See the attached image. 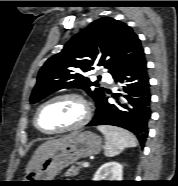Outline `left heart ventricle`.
Returning <instances> with one entry per match:
<instances>
[{
	"instance_id": "obj_1",
	"label": "left heart ventricle",
	"mask_w": 178,
	"mask_h": 186,
	"mask_svg": "<svg viewBox=\"0 0 178 186\" xmlns=\"http://www.w3.org/2000/svg\"><path fill=\"white\" fill-rule=\"evenodd\" d=\"M84 110L79 101L63 98L46 105L40 112L39 123L46 131L63 129L76 124Z\"/></svg>"
}]
</instances>
